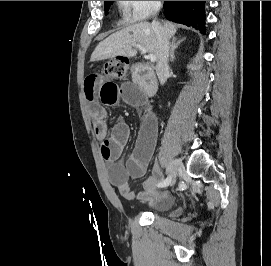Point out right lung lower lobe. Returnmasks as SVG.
I'll return each mask as SVG.
<instances>
[{"label": "right lung lower lobe", "mask_w": 271, "mask_h": 266, "mask_svg": "<svg viewBox=\"0 0 271 266\" xmlns=\"http://www.w3.org/2000/svg\"><path fill=\"white\" fill-rule=\"evenodd\" d=\"M204 3L205 1H164V14L168 20L193 26L205 33Z\"/></svg>", "instance_id": "right-lung-lower-lobe-1"}]
</instances>
